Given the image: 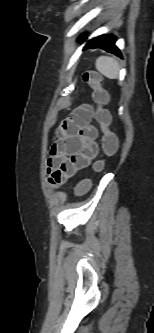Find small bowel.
I'll return each instance as SVG.
<instances>
[{
  "instance_id": "c3829d8e",
  "label": "small bowel",
  "mask_w": 154,
  "mask_h": 333,
  "mask_svg": "<svg viewBox=\"0 0 154 333\" xmlns=\"http://www.w3.org/2000/svg\"><path fill=\"white\" fill-rule=\"evenodd\" d=\"M93 117L92 106L82 105L58 128V139L50 149L47 162L48 179L53 187L63 185L96 159L98 129L91 124Z\"/></svg>"
}]
</instances>
